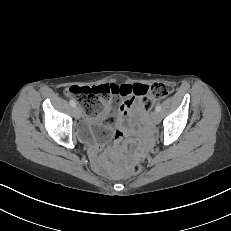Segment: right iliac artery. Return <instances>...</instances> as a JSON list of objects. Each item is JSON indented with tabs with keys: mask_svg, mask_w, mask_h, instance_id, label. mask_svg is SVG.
I'll return each mask as SVG.
<instances>
[{
	"mask_svg": "<svg viewBox=\"0 0 231 231\" xmlns=\"http://www.w3.org/2000/svg\"><path fill=\"white\" fill-rule=\"evenodd\" d=\"M69 103H70V105H71L72 107H75V106H76V102H75L74 100H70Z\"/></svg>",
	"mask_w": 231,
	"mask_h": 231,
	"instance_id": "82829eb1",
	"label": "right iliac artery"
}]
</instances>
